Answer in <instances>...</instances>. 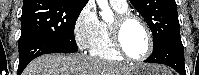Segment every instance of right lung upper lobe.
I'll return each mask as SVG.
<instances>
[{
	"mask_svg": "<svg viewBox=\"0 0 199 75\" xmlns=\"http://www.w3.org/2000/svg\"><path fill=\"white\" fill-rule=\"evenodd\" d=\"M54 2H61L73 6H85L88 0H23V5L27 4L46 5Z\"/></svg>",
	"mask_w": 199,
	"mask_h": 75,
	"instance_id": "cb5924a9",
	"label": "right lung upper lobe"
}]
</instances>
